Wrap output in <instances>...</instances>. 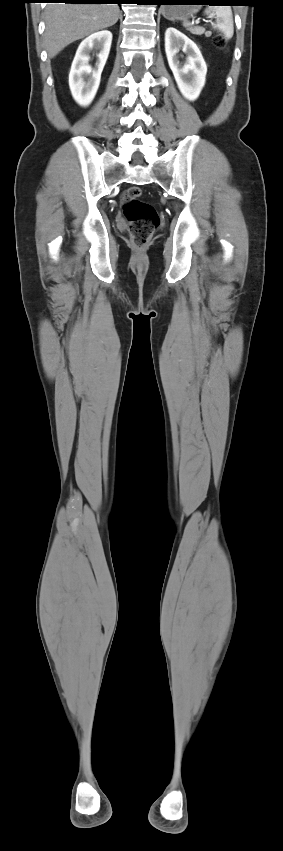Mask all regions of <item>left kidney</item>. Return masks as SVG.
Wrapping results in <instances>:
<instances>
[{
  "mask_svg": "<svg viewBox=\"0 0 283 851\" xmlns=\"http://www.w3.org/2000/svg\"><path fill=\"white\" fill-rule=\"evenodd\" d=\"M186 54L179 61V50ZM165 52L169 67L182 95L189 101L196 100L205 85L207 66L197 45L173 27L165 32Z\"/></svg>",
  "mask_w": 283,
  "mask_h": 851,
  "instance_id": "5707ae66",
  "label": "left kidney"
}]
</instances>
